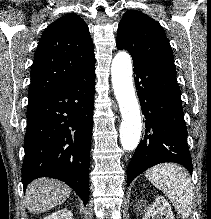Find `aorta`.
Listing matches in <instances>:
<instances>
[{"label": "aorta", "instance_id": "762f6f07", "mask_svg": "<svg viewBox=\"0 0 211 219\" xmlns=\"http://www.w3.org/2000/svg\"><path fill=\"white\" fill-rule=\"evenodd\" d=\"M111 74L114 94L122 115L121 145L124 150L132 151L140 142L142 120L133 86L131 57L127 52L120 51L115 55Z\"/></svg>", "mask_w": 211, "mask_h": 219}]
</instances>
